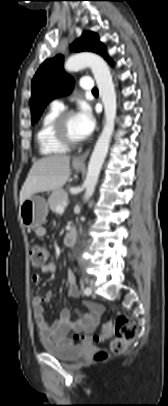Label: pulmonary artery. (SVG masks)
<instances>
[{"instance_id":"1","label":"pulmonary artery","mask_w":168,"mask_h":406,"mask_svg":"<svg viewBox=\"0 0 168 406\" xmlns=\"http://www.w3.org/2000/svg\"><path fill=\"white\" fill-rule=\"evenodd\" d=\"M80 87L84 90L91 91L93 89V81L90 77H83L80 80ZM51 106L55 108L63 109V102L59 99H55L51 102Z\"/></svg>"}]
</instances>
